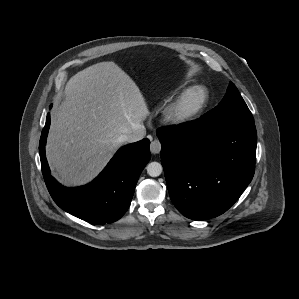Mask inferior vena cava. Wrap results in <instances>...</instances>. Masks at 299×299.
I'll list each match as a JSON object with an SVG mask.
<instances>
[{"label":"inferior vena cava","mask_w":299,"mask_h":299,"mask_svg":"<svg viewBox=\"0 0 299 299\" xmlns=\"http://www.w3.org/2000/svg\"><path fill=\"white\" fill-rule=\"evenodd\" d=\"M146 134L145 127L143 125L136 128L134 132L128 135H123L120 137L121 142H136L144 138Z\"/></svg>","instance_id":"1"}]
</instances>
